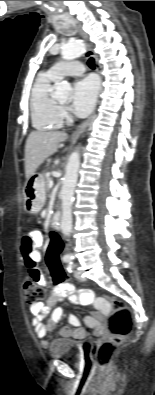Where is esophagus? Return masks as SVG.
Instances as JSON below:
<instances>
[{
  "mask_svg": "<svg viewBox=\"0 0 155 395\" xmlns=\"http://www.w3.org/2000/svg\"><path fill=\"white\" fill-rule=\"evenodd\" d=\"M79 33L85 40H87V37L82 30L79 29ZM87 55L92 57L95 60L96 70L101 77V71H102L101 66L98 62L97 56L95 55V53L93 52V50L90 46H88V48H87ZM101 79H102V77H101ZM94 114L95 113H93L76 131L73 132L72 138H77L81 134V132L89 125L90 121L94 117Z\"/></svg>",
  "mask_w": 155,
  "mask_h": 395,
  "instance_id": "obj_1",
  "label": "esophagus"
}]
</instances>
